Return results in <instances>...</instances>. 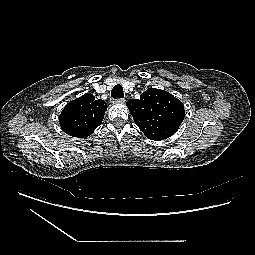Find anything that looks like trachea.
Wrapping results in <instances>:
<instances>
[{
  "instance_id": "1",
  "label": "trachea",
  "mask_w": 255,
  "mask_h": 255,
  "mask_svg": "<svg viewBox=\"0 0 255 255\" xmlns=\"http://www.w3.org/2000/svg\"><path fill=\"white\" fill-rule=\"evenodd\" d=\"M111 96L114 98V99H121L124 97V93H123V87L118 84V85H115L111 91Z\"/></svg>"
}]
</instances>
